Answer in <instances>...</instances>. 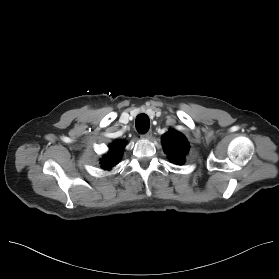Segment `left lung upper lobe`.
<instances>
[{
  "label": "left lung upper lobe",
  "instance_id": "obj_1",
  "mask_svg": "<svg viewBox=\"0 0 279 279\" xmlns=\"http://www.w3.org/2000/svg\"><path fill=\"white\" fill-rule=\"evenodd\" d=\"M162 144L165 153L171 161L178 165L184 163L189 149V142L183 134L175 130H170L162 136Z\"/></svg>",
  "mask_w": 279,
  "mask_h": 279
}]
</instances>
